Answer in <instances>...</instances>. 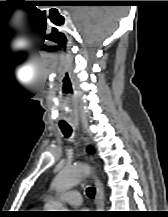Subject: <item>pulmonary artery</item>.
<instances>
[{"label":"pulmonary artery","instance_id":"1","mask_svg":"<svg viewBox=\"0 0 168 217\" xmlns=\"http://www.w3.org/2000/svg\"><path fill=\"white\" fill-rule=\"evenodd\" d=\"M60 199L71 206H79L82 203L81 195L77 191H69L63 194Z\"/></svg>","mask_w":168,"mask_h":217}]
</instances>
